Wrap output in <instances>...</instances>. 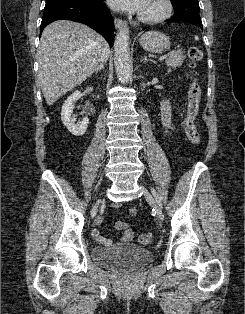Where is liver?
I'll return each mask as SVG.
<instances>
[{
	"label": "liver",
	"instance_id": "liver-1",
	"mask_svg": "<svg viewBox=\"0 0 245 314\" xmlns=\"http://www.w3.org/2000/svg\"><path fill=\"white\" fill-rule=\"evenodd\" d=\"M106 45L101 35L81 23L58 20L44 29L37 78L48 105L92 75Z\"/></svg>",
	"mask_w": 245,
	"mask_h": 314
}]
</instances>
